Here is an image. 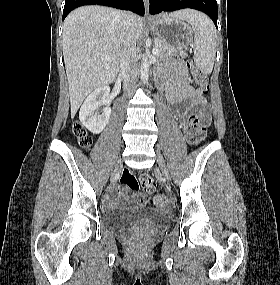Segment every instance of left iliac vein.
<instances>
[{
    "label": "left iliac vein",
    "instance_id": "1",
    "mask_svg": "<svg viewBox=\"0 0 280 285\" xmlns=\"http://www.w3.org/2000/svg\"><path fill=\"white\" fill-rule=\"evenodd\" d=\"M157 161H158L159 168L163 172L164 176L168 179L169 174H168V171L166 169V165L164 163L163 157L160 154L157 155Z\"/></svg>",
    "mask_w": 280,
    "mask_h": 285
}]
</instances>
